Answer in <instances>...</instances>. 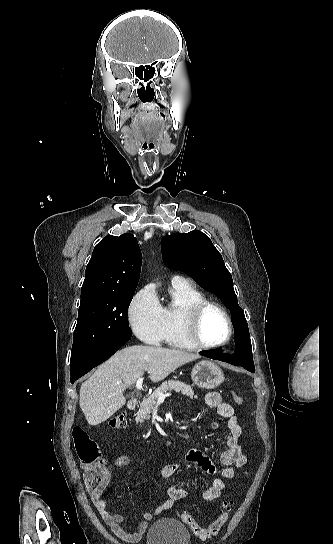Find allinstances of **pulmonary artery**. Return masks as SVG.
<instances>
[{
    "instance_id": "e3ab8cb5",
    "label": "pulmonary artery",
    "mask_w": 333,
    "mask_h": 544,
    "mask_svg": "<svg viewBox=\"0 0 333 544\" xmlns=\"http://www.w3.org/2000/svg\"><path fill=\"white\" fill-rule=\"evenodd\" d=\"M171 283L174 285L189 284V280L182 276L176 275L172 278Z\"/></svg>"
}]
</instances>
